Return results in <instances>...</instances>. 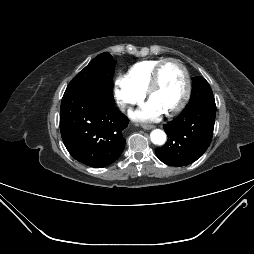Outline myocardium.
I'll return each instance as SVG.
<instances>
[{
	"label": "myocardium",
	"instance_id": "obj_1",
	"mask_svg": "<svg viewBox=\"0 0 254 254\" xmlns=\"http://www.w3.org/2000/svg\"><path fill=\"white\" fill-rule=\"evenodd\" d=\"M167 63H175L176 65H178L180 67V69L182 70V73L184 76V92H183L182 98L173 109L166 112V115L173 116V115L179 113L185 107V105L187 104V102L189 100L190 93H191V80H190V75H189L188 69L184 65V63L181 62L179 59L165 58L156 66V68L153 72L150 84L146 90V96L148 99H150L152 93L157 89L159 82H160L161 71Z\"/></svg>",
	"mask_w": 254,
	"mask_h": 254
}]
</instances>
